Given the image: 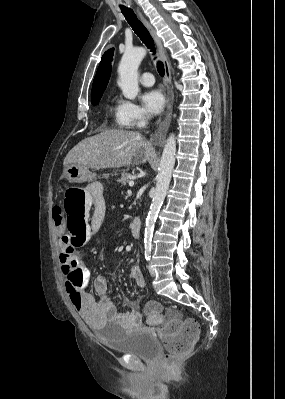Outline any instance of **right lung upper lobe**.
<instances>
[{
	"label": "right lung upper lobe",
	"mask_w": 285,
	"mask_h": 399,
	"mask_svg": "<svg viewBox=\"0 0 285 399\" xmlns=\"http://www.w3.org/2000/svg\"><path fill=\"white\" fill-rule=\"evenodd\" d=\"M112 57L113 49L106 51L102 56L100 65L93 81L91 97L104 92L111 75Z\"/></svg>",
	"instance_id": "right-lung-upper-lobe-1"
}]
</instances>
